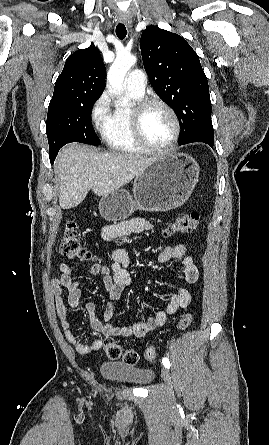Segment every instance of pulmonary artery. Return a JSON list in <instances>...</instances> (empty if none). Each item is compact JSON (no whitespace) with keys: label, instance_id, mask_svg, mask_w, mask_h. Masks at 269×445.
<instances>
[{"label":"pulmonary artery","instance_id":"obj_1","mask_svg":"<svg viewBox=\"0 0 269 445\" xmlns=\"http://www.w3.org/2000/svg\"><path fill=\"white\" fill-rule=\"evenodd\" d=\"M145 74L142 70L131 71L124 80V88L137 96H142L145 91Z\"/></svg>","mask_w":269,"mask_h":445}]
</instances>
